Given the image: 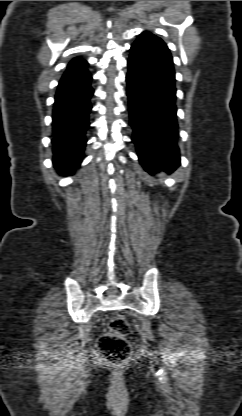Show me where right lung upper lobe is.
I'll list each match as a JSON object with an SVG mask.
<instances>
[{"mask_svg": "<svg viewBox=\"0 0 242 416\" xmlns=\"http://www.w3.org/2000/svg\"><path fill=\"white\" fill-rule=\"evenodd\" d=\"M86 66L87 62L82 60L80 57L74 58L68 65L71 71H75L74 74L87 70Z\"/></svg>", "mask_w": 242, "mask_h": 416, "instance_id": "obj_1", "label": "right lung upper lobe"}]
</instances>
